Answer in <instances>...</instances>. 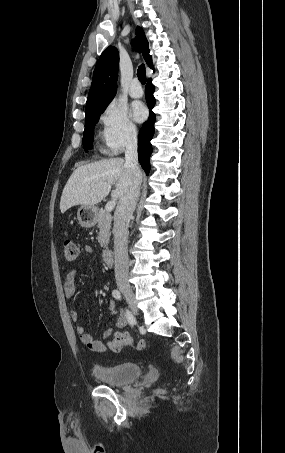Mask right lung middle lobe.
Segmentation results:
<instances>
[{
    "mask_svg": "<svg viewBox=\"0 0 285 453\" xmlns=\"http://www.w3.org/2000/svg\"><path fill=\"white\" fill-rule=\"evenodd\" d=\"M104 110L105 108L90 112L85 115V130L83 135V146L85 151H87L88 149H92L93 147L92 145L93 129L95 124L98 122L101 113H103Z\"/></svg>",
    "mask_w": 285,
    "mask_h": 453,
    "instance_id": "obj_1",
    "label": "right lung middle lobe"
}]
</instances>
